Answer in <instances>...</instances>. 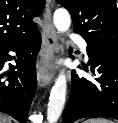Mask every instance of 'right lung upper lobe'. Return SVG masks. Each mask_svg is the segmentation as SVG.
<instances>
[{
	"label": "right lung upper lobe",
	"instance_id": "right-lung-upper-lobe-1",
	"mask_svg": "<svg viewBox=\"0 0 118 123\" xmlns=\"http://www.w3.org/2000/svg\"><path fill=\"white\" fill-rule=\"evenodd\" d=\"M45 0H0V47L16 44L38 32L33 18L38 16Z\"/></svg>",
	"mask_w": 118,
	"mask_h": 123
}]
</instances>
